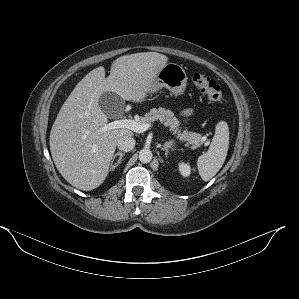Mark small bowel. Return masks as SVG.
<instances>
[{"label":"small bowel","instance_id":"c3829d8e","mask_svg":"<svg viewBox=\"0 0 299 299\" xmlns=\"http://www.w3.org/2000/svg\"><path fill=\"white\" fill-rule=\"evenodd\" d=\"M192 113H193V111H192L191 109H186V110H183V111H182L181 115H182L183 117H189V116L192 115Z\"/></svg>","mask_w":299,"mask_h":299}]
</instances>
